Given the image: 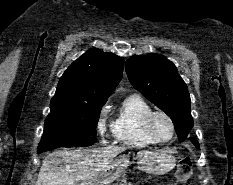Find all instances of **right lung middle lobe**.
Wrapping results in <instances>:
<instances>
[{
	"label": "right lung middle lobe",
	"mask_w": 233,
	"mask_h": 185,
	"mask_svg": "<svg viewBox=\"0 0 233 185\" xmlns=\"http://www.w3.org/2000/svg\"><path fill=\"white\" fill-rule=\"evenodd\" d=\"M105 101L84 102L53 97L38 153L58 147L90 146L96 141V124Z\"/></svg>",
	"instance_id": "1"
}]
</instances>
